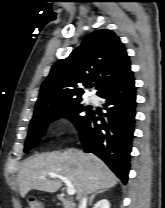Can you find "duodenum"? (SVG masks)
Segmentation results:
<instances>
[{
  "label": "duodenum",
  "mask_w": 165,
  "mask_h": 208,
  "mask_svg": "<svg viewBox=\"0 0 165 208\" xmlns=\"http://www.w3.org/2000/svg\"><path fill=\"white\" fill-rule=\"evenodd\" d=\"M58 200L63 208H76L73 202L64 195H59Z\"/></svg>",
  "instance_id": "1"
}]
</instances>
